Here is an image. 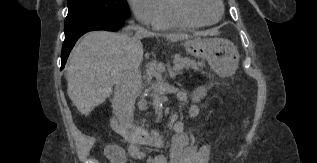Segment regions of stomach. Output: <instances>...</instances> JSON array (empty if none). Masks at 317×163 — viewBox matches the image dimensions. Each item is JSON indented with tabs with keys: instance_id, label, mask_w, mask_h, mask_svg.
<instances>
[{
	"instance_id": "0dacf381",
	"label": "stomach",
	"mask_w": 317,
	"mask_h": 163,
	"mask_svg": "<svg viewBox=\"0 0 317 163\" xmlns=\"http://www.w3.org/2000/svg\"><path fill=\"white\" fill-rule=\"evenodd\" d=\"M182 45L191 56L206 59L212 69L222 76L231 75L238 67V51L228 40L195 38L185 41Z\"/></svg>"
}]
</instances>
